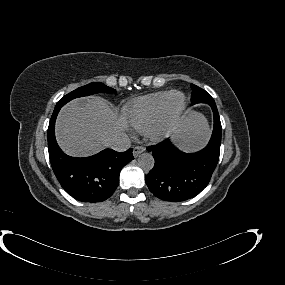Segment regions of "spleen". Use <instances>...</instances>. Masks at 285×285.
Wrapping results in <instances>:
<instances>
[{"label": "spleen", "mask_w": 285, "mask_h": 285, "mask_svg": "<svg viewBox=\"0 0 285 285\" xmlns=\"http://www.w3.org/2000/svg\"><path fill=\"white\" fill-rule=\"evenodd\" d=\"M199 121L201 124L206 125V120L203 116L199 115Z\"/></svg>", "instance_id": "1"}]
</instances>
